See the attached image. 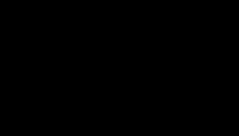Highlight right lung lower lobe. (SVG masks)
<instances>
[{
	"label": "right lung lower lobe",
	"mask_w": 239,
	"mask_h": 136,
	"mask_svg": "<svg viewBox=\"0 0 239 136\" xmlns=\"http://www.w3.org/2000/svg\"><path fill=\"white\" fill-rule=\"evenodd\" d=\"M110 61L107 47L57 33L47 41L40 62L48 98L63 114L74 119L98 114L124 74L121 64L114 66Z\"/></svg>",
	"instance_id": "1"
}]
</instances>
